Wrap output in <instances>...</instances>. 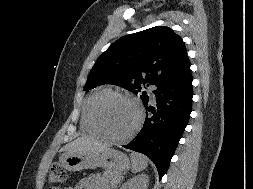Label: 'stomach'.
Returning a JSON list of instances; mask_svg holds the SVG:
<instances>
[{"instance_id": "1", "label": "stomach", "mask_w": 253, "mask_h": 189, "mask_svg": "<svg viewBox=\"0 0 253 189\" xmlns=\"http://www.w3.org/2000/svg\"><path fill=\"white\" fill-rule=\"evenodd\" d=\"M61 166L69 171H80L103 167L112 170H127L130 168L129 158L115 149H107L101 153H64L60 156Z\"/></svg>"}]
</instances>
